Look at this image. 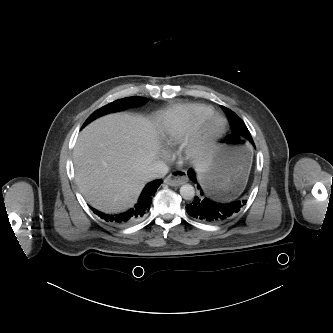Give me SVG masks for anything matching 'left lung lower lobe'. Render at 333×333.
I'll list each match as a JSON object with an SVG mask.
<instances>
[{
	"label": "left lung lower lobe",
	"mask_w": 333,
	"mask_h": 333,
	"mask_svg": "<svg viewBox=\"0 0 333 333\" xmlns=\"http://www.w3.org/2000/svg\"><path fill=\"white\" fill-rule=\"evenodd\" d=\"M188 176L193 182L197 183L196 175L193 170L188 171ZM198 189L201 190L200 196L195 197L192 203L186 205V211L191 217L203 222L219 223L226 221L231 216L238 213L246 204L245 200L233 201L229 203L215 202L204 196L199 184Z\"/></svg>",
	"instance_id": "0a47b994"
}]
</instances>
